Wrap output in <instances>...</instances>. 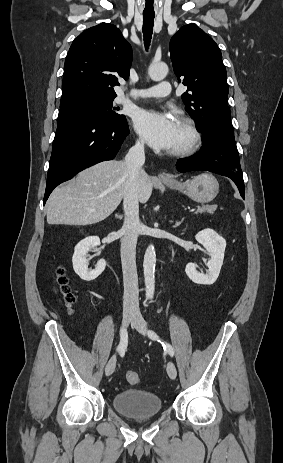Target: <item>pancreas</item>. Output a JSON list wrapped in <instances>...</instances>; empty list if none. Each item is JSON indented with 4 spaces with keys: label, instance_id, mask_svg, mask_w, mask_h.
Listing matches in <instances>:
<instances>
[{
    "label": "pancreas",
    "instance_id": "pancreas-1",
    "mask_svg": "<svg viewBox=\"0 0 283 463\" xmlns=\"http://www.w3.org/2000/svg\"><path fill=\"white\" fill-rule=\"evenodd\" d=\"M217 209V205H203L202 207H198L197 213H213Z\"/></svg>",
    "mask_w": 283,
    "mask_h": 463
}]
</instances>
